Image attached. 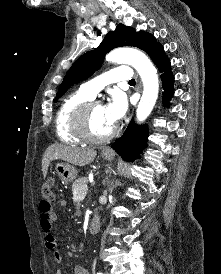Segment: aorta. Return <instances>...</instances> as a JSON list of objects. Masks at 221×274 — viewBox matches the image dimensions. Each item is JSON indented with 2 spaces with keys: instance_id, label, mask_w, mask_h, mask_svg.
<instances>
[{
  "instance_id": "1",
  "label": "aorta",
  "mask_w": 221,
  "mask_h": 274,
  "mask_svg": "<svg viewBox=\"0 0 221 274\" xmlns=\"http://www.w3.org/2000/svg\"><path fill=\"white\" fill-rule=\"evenodd\" d=\"M106 60L112 63L129 64L136 69L143 82V94L137 107V120L143 122L151 113L159 91L158 76L149 58L133 48H118L111 51Z\"/></svg>"
}]
</instances>
